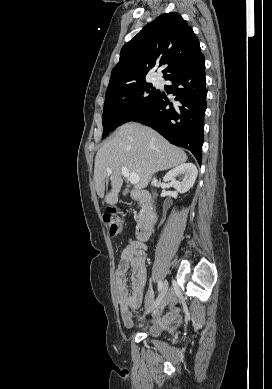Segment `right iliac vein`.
<instances>
[{
  "mask_svg": "<svg viewBox=\"0 0 272 389\" xmlns=\"http://www.w3.org/2000/svg\"><path fill=\"white\" fill-rule=\"evenodd\" d=\"M167 290H168V282L165 280V281L163 282V286H162V289H161V292H160L159 297L157 298V300L155 301V303L152 304V306H151L149 309H147V311L145 312V314L149 313L151 310H153L156 306H158V305L161 303V301L163 300V298H164V296H165Z\"/></svg>",
  "mask_w": 272,
  "mask_h": 389,
  "instance_id": "right-iliac-vein-1",
  "label": "right iliac vein"
}]
</instances>
